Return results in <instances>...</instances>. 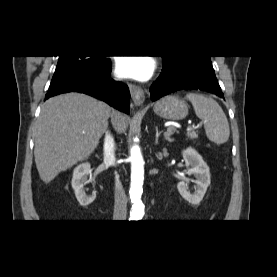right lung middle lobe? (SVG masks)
Returning <instances> with one entry per match:
<instances>
[{"label":"right lung middle lobe","mask_w":277,"mask_h":277,"mask_svg":"<svg viewBox=\"0 0 277 277\" xmlns=\"http://www.w3.org/2000/svg\"><path fill=\"white\" fill-rule=\"evenodd\" d=\"M109 61L110 59L99 56H59L49 88H57L89 78Z\"/></svg>","instance_id":"obj_1"}]
</instances>
